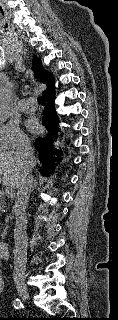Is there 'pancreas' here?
Returning <instances> with one entry per match:
<instances>
[{"label":"pancreas","mask_w":118,"mask_h":320,"mask_svg":"<svg viewBox=\"0 0 118 320\" xmlns=\"http://www.w3.org/2000/svg\"><path fill=\"white\" fill-rule=\"evenodd\" d=\"M5 206H4V199H3V197H0V211L2 210H4L3 208H4ZM9 218H11V216L9 215V216H7L6 217V227L4 228L3 227V224H1V226H0V230L3 228V232H2V234H1V237L2 238H4L5 237V235H6V230H7V223H8V221H9Z\"/></svg>","instance_id":"1"}]
</instances>
